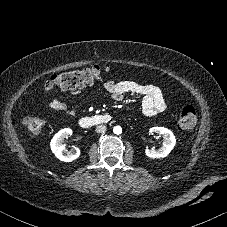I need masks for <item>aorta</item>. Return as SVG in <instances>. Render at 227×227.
<instances>
[{"label":"aorta","mask_w":227,"mask_h":227,"mask_svg":"<svg viewBox=\"0 0 227 227\" xmlns=\"http://www.w3.org/2000/svg\"><path fill=\"white\" fill-rule=\"evenodd\" d=\"M113 132L115 134H121L122 133V128L120 126H115L114 129H113Z\"/></svg>","instance_id":"obj_1"}]
</instances>
